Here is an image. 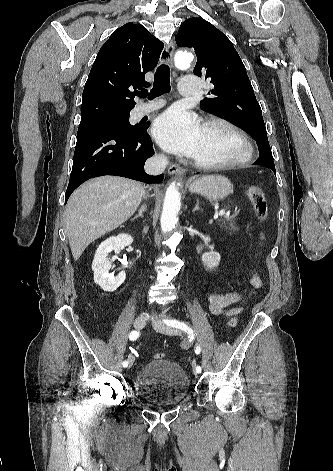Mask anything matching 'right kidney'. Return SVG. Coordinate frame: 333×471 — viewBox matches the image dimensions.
Masks as SVG:
<instances>
[{"label":"right kidney","mask_w":333,"mask_h":471,"mask_svg":"<svg viewBox=\"0 0 333 471\" xmlns=\"http://www.w3.org/2000/svg\"><path fill=\"white\" fill-rule=\"evenodd\" d=\"M133 238L128 234H119L103 241L97 248L92 270L94 271V282L104 291H115L126 279V273L120 272L116 277L109 273L112 267L107 258L109 252L119 250L121 247L131 245Z\"/></svg>","instance_id":"ca27d5eb"}]
</instances>
